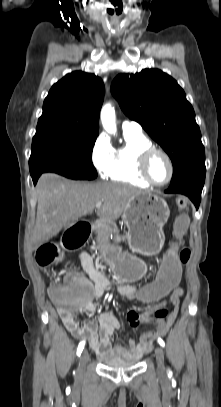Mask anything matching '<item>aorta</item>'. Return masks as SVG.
Listing matches in <instances>:
<instances>
[{
	"mask_svg": "<svg viewBox=\"0 0 221 407\" xmlns=\"http://www.w3.org/2000/svg\"><path fill=\"white\" fill-rule=\"evenodd\" d=\"M101 122L103 128L110 134L116 133V116L115 109L111 104H106L101 110Z\"/></svg>",
	"mask_w": 221,
	"mask_h": 407,
	"instance_id": "aorta-1",
	"label": "aorta"
}]
</instances>
